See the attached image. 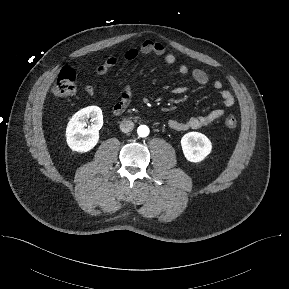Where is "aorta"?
Segmentation results:
<instances>
[{
	"mask_svg": "<svg viewBox=\"0 0 289 289\" xmlns=\"http://www.w3.org/2000/svg\"><path fill=\"white\" fill-rule=\"evenodd\" d=\"M137 133L140 137H146L149 135V128L146 125L138 127Z\"/></svg>",
	"mask_w": 289,
	"mask_h": 289,
	"instance_id": "obj_1",
	"label": "aorta"
}]
</instances>
